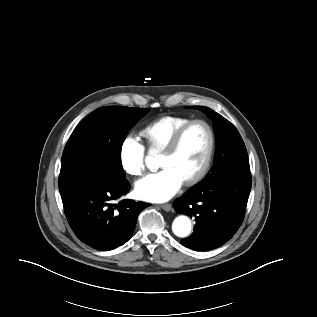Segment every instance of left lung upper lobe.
Segmentation results:
<instances>
[{
    "label": "left lung upper lobe",
    "mask_w": 317,
    "mask_h": 317,
    "mask_svg": "<svg viewBox=\"0 0 317 317\" xmlns=\"http://www.w3.org/2000/svg\"><path fill=\"white\" fill-rule=\"evenodd\" d=\"M213 120L216 137L214 166L202 182H213L233 172H250L245 144L232 123L208 107L192 106Z\"/></svg>",
    "instance_id": "left-lung-upper-lobe-1"
}]
</instances>
